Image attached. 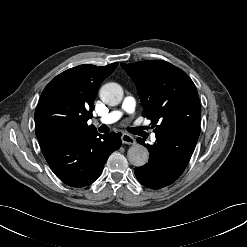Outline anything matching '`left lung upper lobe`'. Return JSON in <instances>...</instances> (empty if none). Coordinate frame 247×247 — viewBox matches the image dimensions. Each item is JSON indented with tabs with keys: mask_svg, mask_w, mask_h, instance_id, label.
Instances as JSON below:
<instances>
[{
	"mask_svg": "<svg viewBox=\"0 0 247 247\" xmlns=\"http://www.w3.org/2000/svg\"><path fill=\"white\" fill-rule=\"evenodd\" d=\"M121 66L137 86L144 107L142 115L157 124L155 134L173 131L198 139L199 97L193 81L184 71L162 60L122 63Z\"/></svg>",
	"mask_w": 247,
	"mask_h": 247,
	"instance_id": "left-lung-upper-lobe-1",
	"label": "left lung upper lobe"
}]
</instances>
